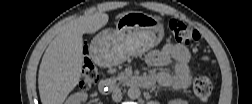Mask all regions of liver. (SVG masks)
<instances>
[{"instance_id":"6515ba94","label":"liver","mask_w":252,"mask_h":104,"mask_svg":"<svg viewBox=\"0 0 252 104\" xmlns=\"http://www.w3.org/2000/svg\"><path fill=\"white\" fill-rule=\"evenodd\" d=\"M128 12L118 14L119 19ZM109 20L106 13L80 16L63 25L40 63L38 88L43 104H62L82 75L83 34L95 33Z\"/></svg>"}]
</instances>
